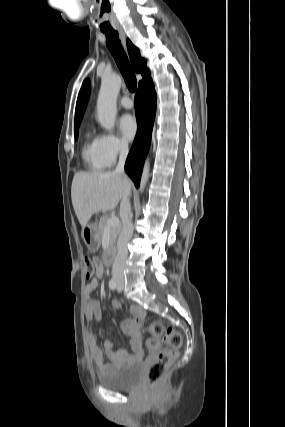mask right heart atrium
I'll use <instances>...</instances> for the list:
<instances>
[{"label": "right heart atrium", "instance_id": "1", "mask_svg": "<svg viewBox=\"0 0 285 427\" xmlns=\"http://www.w3.org/2000/svg\"><path fill=\"white\" fill-rule=\"evenodd\" d=\"M99 143L103 156L109 165L128 152V145L117 134L108 132L99 136Z\"/></svg>", "mask_w": 285, "mask_h": 427}]
</instances>
